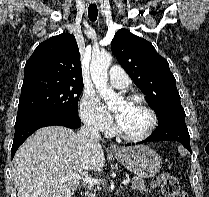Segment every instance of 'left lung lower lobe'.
<instances>
[{
	"mask_svg": "<svg viewBox=\"0 0 209 197\" xmlns=\"http://www.w3.org/2000/svg\"><path fill=\"white\" fill-rule=\"evenodd\" d=\"M161 140L178 141L192 153L190 147V136L185 123V114L168 116L158 122V127L151 136L139 144ZM129 145L131 144H127V146Z\"/></svg>",
	"mask_w": 209,
	"mask_h": 197,
	"instance_id": "1",
	"label": "left lung lower lobe"
}]
</instances>
